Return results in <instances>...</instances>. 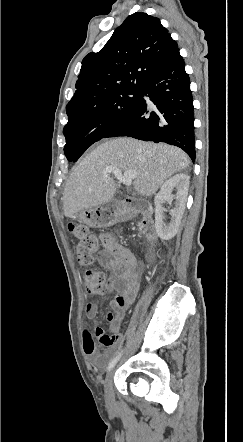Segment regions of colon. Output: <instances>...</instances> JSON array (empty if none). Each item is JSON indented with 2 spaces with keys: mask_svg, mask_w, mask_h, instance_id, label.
<instances>
[{
  "mask_svg": "<svg viewBox=\"0 0 243 442\" xmlns=\"http://www.w3.org/2000/svg\"><path fill=\"white\" fill-rule=\"evenodd\" d=\"M149 205H140L142 213H148ZM69 232L77 240L76 253L79 263L87 267L84 277L85 291L90 295H101L109 291L110 285L103 272L92 266L93 255L98 250V237L90 231L88 225L84 223H69Z\"/></svg>",
  "mask_w": 243,
  "mask_h": 442,
  "instance_id": "5ec220e1",
  "label": "colon"
}]
</instances>
